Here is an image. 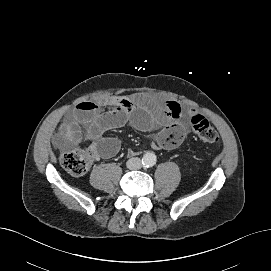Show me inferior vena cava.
Here are the masks:
<instances>
[{
    "mask_svg": "<svg viewBox=\"0 0 271 271\" xmlns=\"http://www.w3.org/2000/svg\"><path fill=\"white\" fill-rule=\"evenodd\" d=\"M126 165H127V168L130 170H137L142 167L141 160L138 157L129 159Z\"/></svg>",
    "mask_w": 271,
    "mask_h": 271,
    "instance_id": "inferior-vena-cava-1",
    "label": "inferior vena cava"
}]
</instances>
